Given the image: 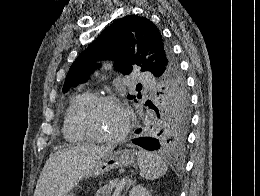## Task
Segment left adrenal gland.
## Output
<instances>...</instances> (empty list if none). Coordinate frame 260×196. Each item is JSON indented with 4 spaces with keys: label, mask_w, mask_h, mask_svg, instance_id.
<instances>
[{
    "label": "left adrenal gland",
    "mask_w": 260,
    "mask_h": 196,
    "mask_svg": "<svg viewBox=\"0 0 260 196\" xmlns=\"http://www.w3.org/2000/svg\"><path fill=\"white\" fill-rule=\"evenodd\" d=\"M133 184H135V180H128V182L126 184V190H124L123 196H126L130 186H133Z\"/></svg>",
    "instance_id": "a2214340"
}]
</instances>
